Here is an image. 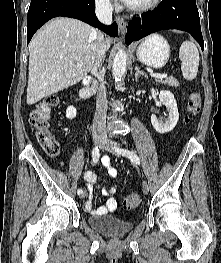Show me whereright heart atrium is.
Masks as SVG:
<instances>
[{
	"label": "right heart atrium",
	"instance_id": "obj_1",
	"mask_svg": "<svg viewBox=\"0 0 221 263\" xmlns=\"http://www.w3.org/2000/svg\"><path fill=\"white\" fill-rule=\"evenodd\" d=\"M97 5L109 9L112 7V0H96Z\"/></svg>",
	"mask_w": 221,
	"mask_h": 263
}]
</instances>
